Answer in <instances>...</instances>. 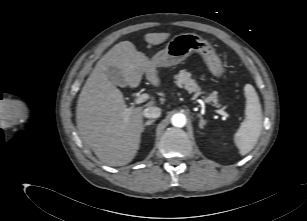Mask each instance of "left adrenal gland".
I'll use <instances>...</instances> for the list:
<instances>
[{
  "instance_id": "a2214340",
  "label": "left adrenal gland",
  "mask_w": 307,
  "mask_h": 221,
  "mask_svg": "<svg viewBox=\"0 0 307 221\" xmlns=\"http://www.w3.org/2000/svg\"><path fill=\"white\" fill-rule=\"evenodd\" d=\"M198 117L200 118L199 127H200L201 129H203L204 126H205L206 121L204 120V118L202 117V115L198 114Z\"/></svg>"
}]
</instances>
